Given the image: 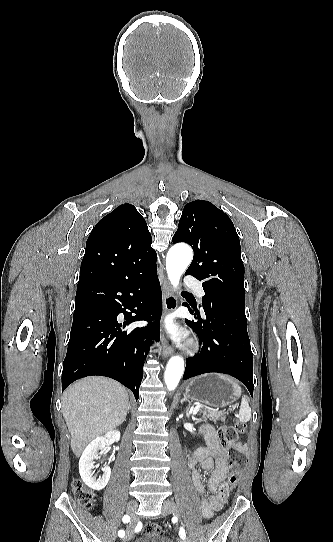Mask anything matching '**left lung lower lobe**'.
I'll return each instance as SVG.
<instances>
[{
    "instance_id": "left-lung-lower-lobe-1",
    "label": "left lung lower lobe",
    "mask_w": 333,
    "mask_h": 542,
    "mask_svg": "<svg viewBox=\"0 0 333 542\" xmlns=\"http://www.w3.org/2000/svg\"><path fill=\"white\" fill-rule=\"evenodd\" d=\"M189 303L193 310L189 304L183 305L189 308L198 322L185 319V323L198 335L202 348L197 356L187 359L183 379L209 372L229 374L239 379L253 395V355L245 307L217 302L202 320L195 304Z\"/></svg>"
}]
</instances>
